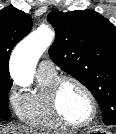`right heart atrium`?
<instances>
[{
  "instance_id": "right-heart-atrium-1",
  "label": "right heart atrium",
  "mask_w": 116,
  "mask_h": 134,
  "mask_svg": "<svg viewBox=\"0 0 116 134\" xmlns=\"http://www.w3.org/2000/svg\"><path fill=\"white\" fill-rule=\"evenodd\" d=\"M8 97L13 107L18 111L24 95L12 85L8 91Z\"/></svg>"
}]
</instances>
